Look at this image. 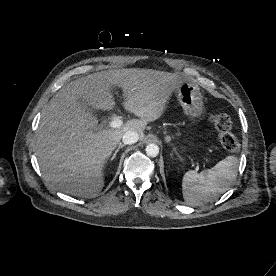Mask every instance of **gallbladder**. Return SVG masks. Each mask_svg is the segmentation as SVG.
Instances as JSON below:
<instances>
[{
  "mask_svg": "<svg viewBox=\"0 0 276 276\" xmlns=\"http://www.w3.org/2000/svg\"><path fill=\"white\" fill-rule=\"evenodd\" d=\"M80 104L82 105L83 108H85L87 111L94 113L95 109L92 108L89 104H87L86 102H84L83 100H79Z\"/></svg>",
  "mask_w": 276,
  "mask_h": 276,
  "instance_id": "1",
  "label": "gallbladder"
}]
</instances>
